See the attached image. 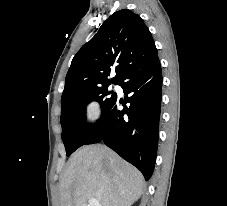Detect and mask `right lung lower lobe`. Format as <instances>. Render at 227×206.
Returning a JSON list of instances; mask_svg holds the SVG:
<instances>
[{"label": "right lung lower lobe", "instance_id": "1", "mask_svg": "<svg viewBox=\"0 0 227 206\" xmlns=\"http://www.w3.org/2000/svg\"><path fill=\"white\" fill-rule=\"evenodd\" d=\"M118 85L131 106L120 111L116 98L85 144L103 141L137 167L147 181L153 173L158 144L162 90L158 56L148 64L131 69Z\"/></svg>", "mask_w": 227, "mask_h": 206}]
</instances>
